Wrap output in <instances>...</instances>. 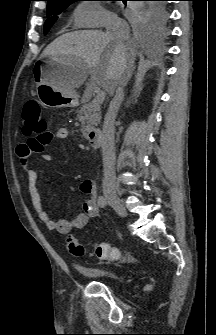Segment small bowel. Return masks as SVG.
<instances>
[{"label": "small bowel", "instance_id": "1", "mask_svg": "<svg viewBox=\"0 0 216 335\" xmlns=\"http://www.w3.org/2000/svg\"><path fill=\"white\" fill-rule=\"evenodd\" d=\"M68 137L69 131L64 127H61L55 133H51L50 138L46 143L51 140H65ZM32 153L33 151L29 144H22L17 148V155L26 171L28 195L38 218L47 226L49 230L56 231L60 234H68L73 229H84L89 220L98 217L100 212L95 182L92 179H85L81 183V192L89 195V198L83 203V212L75 215L70 220H55L43 207L42 199L38 190L39 175L37 171L28 166ZM42 158L46 162H50L52 160V156L47 153L43 154ZM105 244L109 246V244ZM102 260L104 259L102 258Z\"/></svg>", "mask_w": 216, "mask_h": 335}]
</instances>
